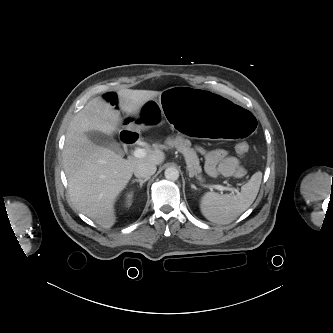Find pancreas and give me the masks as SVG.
I'll return each instance as SVG.
<instances>
[{
  "label": "pancreas",
  "instance_id": "1",
  "mask_svg": "<svg viewBox=\"0 0 333 333\" xmlns=\"http://www.w3.org/2000/svg\"><path fill=\"white\" fill-rule=\"evenodd\" d=\"M166 145L175 147L180 153L184 155L190 177L195 176L199 181H203V178L199 175L201 172L199 158L196 151L191 148L190 140L184 139L182 136H176L175 138L168 137L166 140Z\"/></svg>",
  "mask_w": 333,
  "mask_h": 333
}]
</instances>
